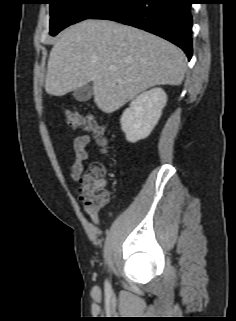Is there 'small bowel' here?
Returning <instances> with one entry per match:
<instances>
[{
	"label": "small bowel",
	"mask_w": 236,
	"mask_h": 321,
	"mask_svg": "<svg viewBox=\"0 0 236 321\" xmlns=\"http://www.w3.org/2000/svg\"><path fill=\"white\" fill-rule=\"evenodd\" d=\"M90 142L91 137L87 134L78 135L73 140V158L70 162V176L74 181H79L82 178L84 172V162L89 157L86 147ZM104 184L106 186L105 180ZM83 208L86 214L95 224L100 222V208H93L86 203H83Z\"/></svg>",
	"instance_id": "small-bowel-1"
}]
</instances>
